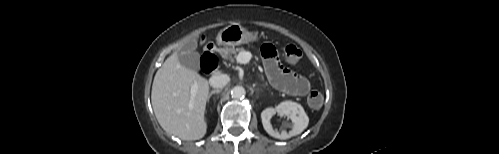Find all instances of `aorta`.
Here are the masks:
<instances>
[{"label": "aorta", "instance_id": "aorta-1", "mask_svg": "<svg viewBox=\"0 0 499 154\" xmlns=\"http://www.w3.org/2000/svg\"><path fill=\"white\" fill-rule=\"evenodd\" d=\"M246 95V90L244 87L242 86H235L232 90H231V96L232 98L234 99H242L244 98Z\"/></svg>", "mask_w": 499, "mask_h": 154}]
</instances>
